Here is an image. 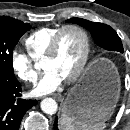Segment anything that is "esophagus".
Segmentation results:
<instances>
[{
    "mask_svg": "<svg viewBox=\"0 0 130 130\" xmlns=\"http://www.w3.org/2000/svg\"><path fill=\"white\" fill-rule=\"evenodd\" d=\"M53 98L56 99V100H58V101H62V100H63V97H62L61 94H55V95L53 96Z\"/></svg>",
    "mask_w": 130,
    "mask_h": 130,
    "instance_id": "esophagus-1",
    "label": "esophagus"
}]
</instances>
